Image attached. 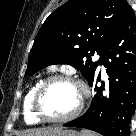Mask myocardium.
Segmentation results:
<instances>
[{"label":"myocardium","instance_id":"1","mask_svg":"<svg viewBox=\"0 0 136 136\" xmlns=\"http://www.w3.org/2000/svg\"><path fill=\"white\" fill-rule=\"evenodd\" d=\"M55 81L68 82L74 85L79 92V100H78V104L75 107V109L68 115L63 116V117H58V118L48 117L44 115L40 109V100H41V97L45 89L48 87L50 83L55 82ZM86 92L87 91H86L85 86L79 80H77L75 77L71 75L54 74V75L48 76L43 81H41V83L39 84V86L37 87L33 95L32 102H31V108H32L33 114L40 122L54 123V124L69 122L75 119L83 110Z\"/></svg>","mask_w":136,"mask_h":136}]
</instances>
